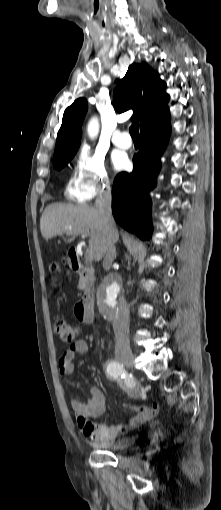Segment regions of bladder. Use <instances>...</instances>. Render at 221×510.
<instances>
[{
    "instance_id": "1",
    "label": "bladder",
    "mask_w": 221,
    "mask_h": 510,
    "mask_svg": "<svg viewBox=\"0 0 221 510\" xmlns=\"http://www.w3.org/2000/svg\"><path fill=\"white\" fill-rule=\"evenodd\" d=\"M135 442V438L132 436L122 437L119 439H115L110 442L105 443H97L96 447L98 449L106 450L109 452H120L129 449Z\"/></svg>"
}]
</instances>
